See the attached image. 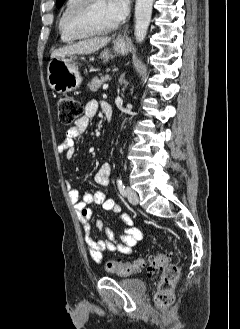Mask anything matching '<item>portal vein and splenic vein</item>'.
Wrapping results in <instances>:
<instances>
[{"mask_svg": "<svg viewBox=\"0 0 240 329\" xmlns=\"http://www.w3.org/2000/svg\"><path fill=\"white\" fill-rule=\"evenodd\" d=\"M108 86H109L108 84H104V85H103V89H104V90L107 89Z\"/></svg>", "mask_w": 240, "mask_h": 329, "instance_id": "18ae733b", "label": "portal vein and splenic vein"}]
</instances>
